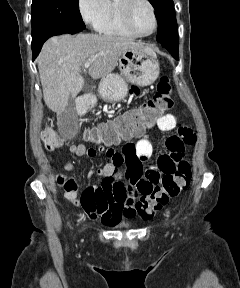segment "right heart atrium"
I'll return each instance as SVG.
<instances>
[{"label": "right heart atrium", "instance_id": "obj_1", "mask_svg": "<svg viewBox=\"0 0 240 288\" xmlns=\"http://www.w3.org/2000/svg\"><path fill=\"white\" fill-rule=\"evenodd\" d=\"M108 0H78L79 12L83 20L97 28L107 11Z\"/></svg>", "mask_w": 240, "mask_h": 288}]
</instances>
